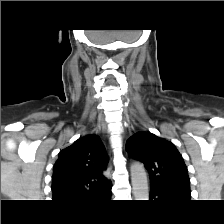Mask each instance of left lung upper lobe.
<instances>
[{
    "mask_svg": "<svg viewBox=\"0 0 224 224\" xmlns=\"http://www.w3.org/2000/svg\"><path fill=\"white\" fill-rule=\"evenodd\" d=\"M131 158L142 162L151 186L190 193V179L183 158L174 144L150 132H138L127 141Z\"/></svg>",
    "mask_w": 224,
    "mask_h": 224,
    "instance_id": "obj_1",
    "label": "left lung upper lobe"
}]
</instances>
